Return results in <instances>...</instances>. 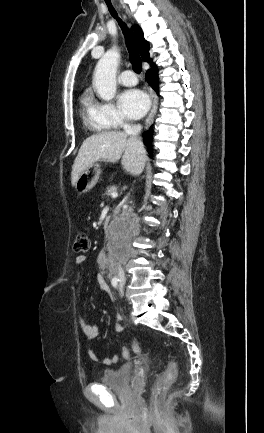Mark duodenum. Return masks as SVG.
Here are the masks:
<instances>
[{"label":"duodenum","instance_id":"410a0bca","mask_svg":"<svg viewBox=\"0 0 264 433\" xmlns=\"http://www.w3.org/2000/svg\"><path fill=\"white\" fill-rule=\"evenodd\" d=\"M104 230L108 234L109 233V220L106 219L104 222ZM109 257L112 260H115L116 258V252L114 250H111ZM107 259V258H104ZM115 271V264L113 262L110 263L109 269H108V275L110 276Z\"/></svg>","mask_w":264,"mask_h":433}]
</instances>
